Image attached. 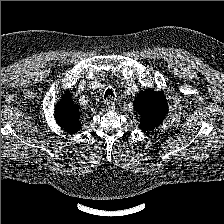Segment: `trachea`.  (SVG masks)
<instances>
[{
  "mask_svg": "<svg viewBox=\"0 0 224 224\" xmlns=\"http://www.w3.org/2000/svg\"><path fill=\"white\" fill-rule=\"evenodd\" d=\"M108 97H114V93H113V91H112L111 89H108V90L106 91V93H105L104 98L106 99V98H108Z\"/></svg>",
  "mask_w": 224,
  "mask_h": 224,
  "instance_id": "1",
  "label": "trachea"
}]
</instances>
